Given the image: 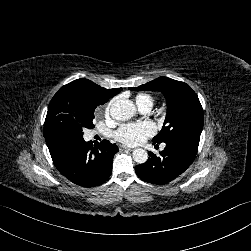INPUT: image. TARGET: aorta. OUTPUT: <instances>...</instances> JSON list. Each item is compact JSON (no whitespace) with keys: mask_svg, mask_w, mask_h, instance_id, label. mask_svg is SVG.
Instances as JSON below:
<instances>
[{"mask_svg":"<svg viewBox=\"0 0 251 251\" xmlns=\"http://www.w3.org/2000/svg\"><path fill=\"white\" fill-rule=\"evenodd\" d=\"M136 112V107L131 100L119 99L116 100L111 108L110 115L115 120L126 121L133 117ZM133 160L138 164H143L148 159V153L142 148L135 149L132 153Z\"/></svg>","mask_w":251,"mask_h":251,"instance_id":"obj_1","label":"aorta"}]
</instances>
